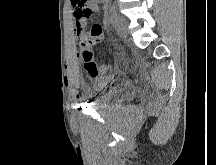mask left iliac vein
Returning a JSON list of instances; mask_svg holds the SVG:
<instances>
[{
    "instance_id": "left-iliac-vein-1",
    "label": "left iliac vein",
    "mask_w": 216,
    "mask_h": 165,
    "mask_svg": "<svg viewBox=\"0 0 216 165\" xmlns=\"http://www.w3.org/2000/svg\"><path fill=\"white\" fill-rule=\"evenodd\" d=\"M115 30L120 37H127L128 35V23L123 16H117L114 22Z\"/></svg>"
}]
</instances>
